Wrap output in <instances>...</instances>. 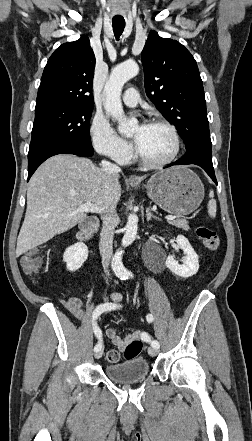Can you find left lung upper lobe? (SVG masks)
Listing matches in <instances>:
<instances>
[{"mask_svg": "<svg viewBox=\"0 0 252 441\" xmlns=\"http://www.w3.org/2000/svg\"><path fill=\"white\" fill-rule=\"evenodd\" d=\"M141 60L146 94L176 126L186 151L212 149L203 83L194 57L178 41L151 31Z\"/></svg>", "mask_w": 252, "mask_h": 441, "instance_id": "obj_1", "label": "left lung upper lobe"}]
</instances>
